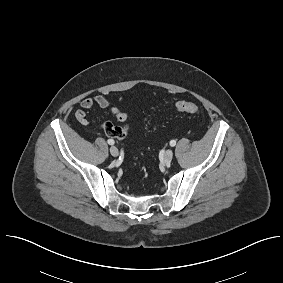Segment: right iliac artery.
Instances as JSON below:
<instances>
[{
	"label": "right iliac artery",
	"instance_id": "82829eb1",
	"mask_svg": "<svg viewBox=\"0 0 283 283\" xmlns=\"http://www.w3.org/2000/svg\"><path fill=\"white\" fill-rule=\"evenodd\" d=\"M107 142H108L109 145H113L114 144V140L113 139H108Z\"/></svg>",
	"mask_w": 283,
	"mask_h": 283
}]
</instances>
